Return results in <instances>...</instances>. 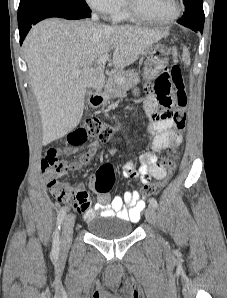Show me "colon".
<instances>
[{"instance_id": "obj_1", "label": "colon", "mask_w": 227, "mask_h": 298, "mask_svg": "<svg viewBox=\"0 0 227 298\" xmlns=\"http://www.w3.org/2000/svg\"><path fill=\"white\" fill-rule=\"evenodd\" d=\"M171 82L176 89V105L177 110L172 115H161L163 104L158 103L159 112L157 115H149L150 117H170L175 124V127L181 129L186 122L187 94L184 89V82L181 73V69L177 64H174L171 68ZM114 137V129L96 118H89L86 122L70 133L67 137V142L71 146H81L85 144L89 139L96 138L100 141L107 142ZM165 165L169 170L172 168V164L169 161L165 162ZM114 171L109 163L101 165L96 173L94 182V189L97 193H107L111 190L114 184ZM160 184H148L144 187V195H152L158 192L161 187ZM50 186L55 188V197L61 203H68L70 205H76L81 201V196L68 192L65 189L59 188L56 181H52Z\"/></svg>"}]
</instances>
